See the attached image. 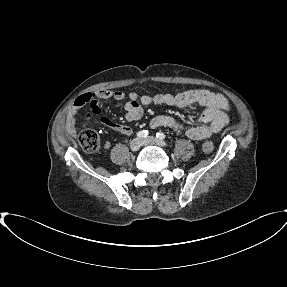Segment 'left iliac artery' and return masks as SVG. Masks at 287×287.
<instances>
[{
	"label": "left iliac artery",
	"mask_w": 287,
	"mask_h": 287,
	"mask_svg": "<svg viewBox=\"0 0 287 287\" xmlns=\"http://www.w3.org/2000/svg\"><path fill=\"white\" fill-rule=\"evenodd\" d=\"M156 137L160 140H163V139H165V134L163 132H158L156 134Z\"/></svg>",
	"instance_id": "left-iliac-artery-1"
}]
</instances>
